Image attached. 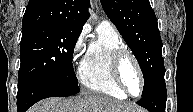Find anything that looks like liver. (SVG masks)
I'll return each instance as SVG.
<instances>
[{"label": "liver", "mask_w": 193, "mask_h": 112, "mask_svg": "<svg viewBox=\"0 0 193 112\" xmlns=\"http://www.w3.org/2000/svg\"><path fill=\"white\" fill-rule=\"evenodd\" d=\"M135 105L107 97L84 96L74 99H44L28 112H135Z\"/></svg>", "instance_id": "1"}]
</instances>
